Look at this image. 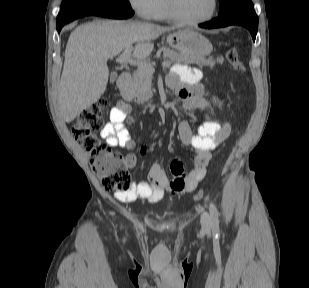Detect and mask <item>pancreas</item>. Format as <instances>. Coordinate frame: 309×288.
Returning <instances> with one entry per match:
<instances>
[{
  "mask_svg": "<svg viewBox=\"0 0 309 288\" xmlns=\"http://www.w3.org/2000/svg\"><path fill=\"white\" fill-rule=\"evenodd\" d=\"M159 52H163V57L165 61L170 64H196L200 67L202 66H210L214 67L216 63L222 64L224 61L223 57H201V56H187L184 54H180L171 50L169 48L163 47L159 50ZM128 92L130 97L136 100L138 103H146L153 96L152 91V73L137 68L136 71L133 72V77L128 85Z\"/></svg>",
  "mask_w": 309,
  "mask_h": 288,
  "instance_id": "cf45deb5",
  "label": "pancreas"
}]
</instances>
